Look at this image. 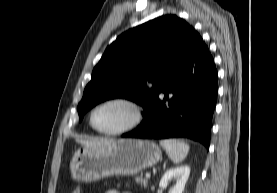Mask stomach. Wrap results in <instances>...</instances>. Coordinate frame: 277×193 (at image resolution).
Listing matches in <instances>:
<instances>
[{"mask_svg":"<svg viewBox=\"0 0 277 193\" xmlns=\"http://www.w3.org/2000/svg\"><path fill=\"white\" fill-rule=\"evenodd\" d=\"M161 156L152 141L121 139L100 148H79L71 159L70 172L74 180L82 182L134 175L155 165Z\"/></svg>","mask_w":277,"mask_h":193,"instance_id":"stomach-1","label":"stomach"}]
</instances>
